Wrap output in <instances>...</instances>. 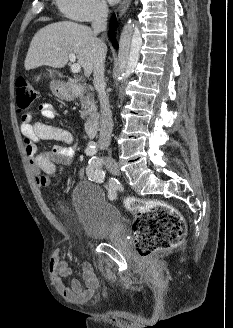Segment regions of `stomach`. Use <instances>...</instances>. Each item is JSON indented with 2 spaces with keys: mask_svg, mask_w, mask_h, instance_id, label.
I'll return each instance as SVG.
<instances>
[{
  "mask_svg": "<svg viewBox=\"0 0 233 328\" xmlns=\"http://www.w3.org/2000/svg\"><path fill=\"white\" fill-rule=\"evenodd\" d=\"M53 94L62 99H72V94L68 90L62 87L58 89L54 88Z\"/></svg>",
  "mask_w": 233,
  "mask_h": 328,
  "instance_id": "1",
  "label": "stomach"
}]
</instances>
